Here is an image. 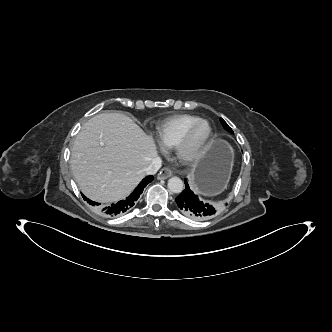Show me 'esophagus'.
I'll use <instances>...</instances> for the list:
<instances>
[{"label": "esophagus", "instance_id": "1", "mask_svg": "<svg viewBox=\"0 0 332 332\" xmlns=\"http://www.w3.org/2000/svg\"><path fill=\"white\" fill-rule=\"evenodd\" d=\"M170 176H172L171 169L165 167V168L161 169V171L158 173L157 179H167Z\"/></svg>", "mask_w": 332, "mask_h": 332}]
</instances>
